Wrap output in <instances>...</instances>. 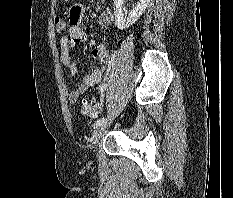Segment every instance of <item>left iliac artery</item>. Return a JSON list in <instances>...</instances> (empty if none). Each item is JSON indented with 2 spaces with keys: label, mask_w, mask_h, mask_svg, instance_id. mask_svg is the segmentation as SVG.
Listing matches in <instances>:
<instances>
[{
  "label": "left iliac artery",
  "mask_w": 233,
  "mask_h": 198,
  "mask_svg": "<svg viewBox=\"0 0 233 198\" xmlns=\"http://www.w3.org/2000/svg\"><path fill=\"white\" fill-rule=\"evenodd\" d=\"M105 88H106V84H102V86L100 87L101 90H104ZM106 121H107V118H105V117L98 119L94 123V128L100 126L101 124H103Z\"/></svg>",
  "instance_id": "left-iliac-artery-1"
}]
</instances>
